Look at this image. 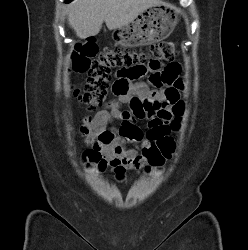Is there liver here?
<instances>
[{"mask_svg": "<svg viewBox=\"0 0 248 250\" xmlns=\"http://www.w3.org/2000/svg\"><path fill=\"white\" fill-rule=\"evenodd\" d=\"M162 0H74L66 8L67 21L76 35L85 39L97 35L105 22L109 30L131 23L145 9Z\"/></svg>", "mask_w": 248, "mask_h": 250, "instance_id": "6515ba94", "label": "liver"}]
</instances>
